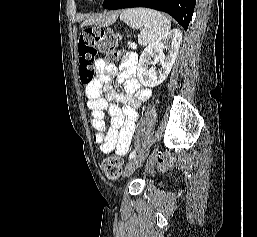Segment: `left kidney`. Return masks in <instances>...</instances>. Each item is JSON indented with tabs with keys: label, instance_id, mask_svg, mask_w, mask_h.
I'll use <instances>...</instances> for the list:
<instances>
[{
	"label": "left kidney",
	"instance_id": "obj_1",
	"mask_svg": "<svg viewBox=\"0 0 257 237\" xmlns=\"http://www.w3.org/2000/svg\"><path fill=\"white\" fill-rule=\"evenodd\" d=\"M181 41V31L174 29L144 49L137 67V77L142 85L152 88L167 78L178 55ZM164 49L168 51L166 55L163 53ZM156 63L161 65L158 70L155 69ZM150 65L152 67H149Z\"/></svg>",
	"mask_w": 257,
	"mask_h": 237
}]
</instances>
